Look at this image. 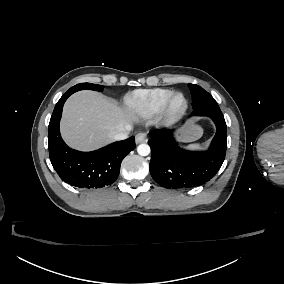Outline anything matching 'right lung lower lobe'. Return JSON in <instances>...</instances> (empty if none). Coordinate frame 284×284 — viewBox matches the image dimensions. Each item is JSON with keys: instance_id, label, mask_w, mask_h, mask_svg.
<instances>
[{"instance_id": "98d812e1", "label": "right lung lower lobe", "mask_w": 284, "mask_h": 284, "mask_svg": "<svg viewBox=\"0 0 284 284\" xmlns=\"http://www.w3.org/2000/svg\"><path fill=\"white\" fill-rule=\"evenodd\" d=\"M66 92L57 102L49 123L48 146L50 161L66 183L84 190H96L116 181L123 158L135 148V138L112 143L92 152L69 148L62 140L59 122L67 98Z\"/></svg>"}]
</instances>
